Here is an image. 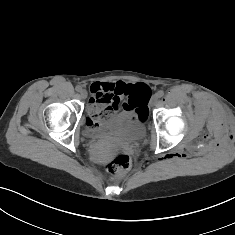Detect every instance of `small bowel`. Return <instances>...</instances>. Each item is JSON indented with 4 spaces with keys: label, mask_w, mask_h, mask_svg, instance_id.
<instances>
[{
    "label": "small bowel",
    "mask_w": 235,
    "mask_h": 235,
    "mask_svg": "<svg viewBox=\"0 0 235 235\" xmlns=\"http://www.w3.org/2000/svg\"><path fill=\"white\" fill-rule=\"evenodd\" d=\"M135 85L137 84H125L120 81L92 83L90 85L91 98L88 106L89 117L106 108L111 111L112 116L121 107L125 112L131 111L126 107V102L121 104V100L128 96L130 87Z\"/></svg>",
    "instance_id": "c3829d8e"
}]
</instances>
